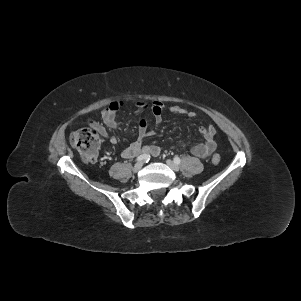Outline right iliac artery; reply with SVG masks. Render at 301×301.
Segmentation results:
<instances>
[{"label":"right iliac artery","instance_id":"1","mask_svg":"<svg viewBox=\"0 0 301 301\" xmlns=\"http://www.w3.org/2000/svg\"><path fill=\"white\" fill-rule=\"evenodd\" d=\"M149 159H150L149 154H142L137 157L136 161H142V160L149 161Z\"/></svg>","mask_w":301,"mask_h":301}]
</instances>
